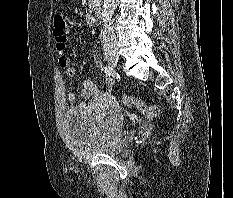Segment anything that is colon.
Wrapping results in <instances>:
<instances>
[{"label":"colon","mask_w":233,"mask_h":198,"mask_svg":"<svg viewBox=\"0 0 233 198\" xmlns=\"http://www.w3.org/2000/svg\"><path fill=\"white\" fill-rule=\"evenodd\" d=\"M53 26V35L55 38L63 39L66 37L68 26L63 17H54ZM123 103L125 106L129 108H134L149 117H156L159 115V108L157 106L147 105L143 101L133 96L125 95L123 97Z\"/></svg>","instance_id":"obj_1"}]
</instances>
